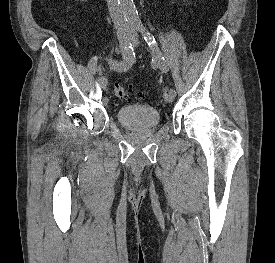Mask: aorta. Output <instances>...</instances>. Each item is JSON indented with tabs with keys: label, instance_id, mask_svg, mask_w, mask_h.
<instances>
[{
	"label": "aorta",
	"instance_id": "aorta-1",
	"mask_svg": "<svg viewBox=\"0 0 275 263\" xmlns=\"http://www.w3.org/2000/svg\"><path fill=\"white\" fill-rule=\"evenodd\" d=\"M119 6L130 27L140 28L142 23L133 0H119Z\"/></svg>",
	"mask_w": 275,
	"mask_h": 263
}]
</instances>
